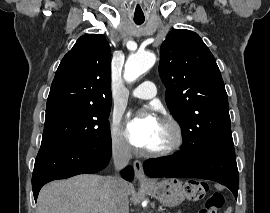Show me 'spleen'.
Wrapping results in <instances>:
<instances>
[{
  "label": "spleen",
  "mask_w": 270,
  "mask_h": 213,
  "mask_svg": "<svg viewBox=\"0 0 270 213\" xmlns=\"http://www.w3.org/2000/svg\"><path fill=\"white\" fill-rule=\"evenodd\" d=\"M231 212V208H228L227 212L226 213H230Z\"/></svg>",
  "instance_id": "1"
}]
</instances>
